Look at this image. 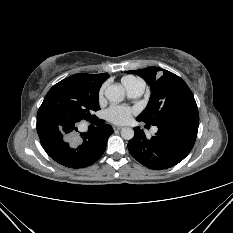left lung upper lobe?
Instances as JSON below:
<instances>
[{"instance_id":"1","label":"left lung upper lobe","mask_w":233,"mask_h":233,"mask_svg":"<svg viewBox=\"0 0 233 233\" xmlns=\"http://www.w3.org/2000/svg\"><path fill=\"white\" fill-rule=\"evenodd\" d=\"M141 76L151 87L152 94L139 120L158 125L176 118L198 114L194 96L177 75L159 67L126 71Z\"/></svg>"}]
</instances>
